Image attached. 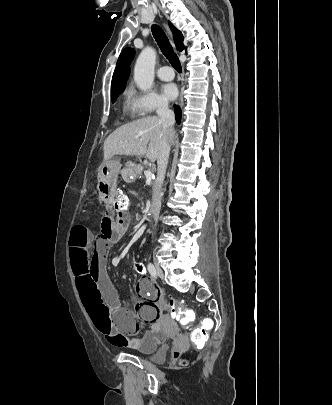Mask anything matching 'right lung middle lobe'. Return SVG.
<instances>
[{
	"instance_id": "right-lung-middle-lobe-1",
	"label": "right lung middle lobe",
	"mask_w": 332,
	"mask_h": 405,
	"mask_svg": "<svg viewBox=\"0 0 332 405\" xmlns=\"http://www.w3.org/2000/svg\"><path fill=\"white\" fill-rule=\"evenodd\" d=\"M126 82L120 83L117 86L111 88L112 102L115 101L116 97L124 90Z\"/></svg>"
}]
</instances>
